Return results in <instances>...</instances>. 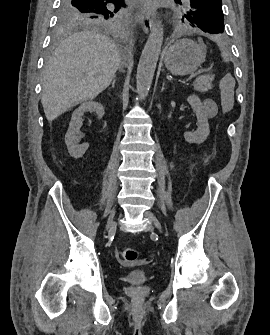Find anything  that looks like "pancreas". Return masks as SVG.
<instances>
[{
	"label": "pancreas",
	"instance_id": "1",
	"mask_svg": "<svg viewBox=\"0 0 270 335\" xmlns=\"http://www.w3.org/2000/svg\"><path fill=\"white\" fill-rule=\"evenodd\" d=\"M215 78V74H206V76H199L193 82L194 90L197 92H208L212 88V82Z\"/></svg>",
	"mask_w": 270,
	"mask_h": 335
}]
</instances>
